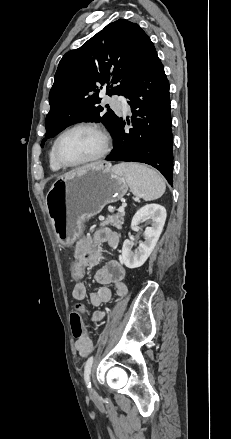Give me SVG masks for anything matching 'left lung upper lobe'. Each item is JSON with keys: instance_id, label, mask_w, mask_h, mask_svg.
Segmentation results:
<instances>
[{"instance_id": "1", "label": "left lung upper lobe", "mask_w": 231, "mask_h": 439, "mask_svg": "<svg viewBox=\"0 0 231 439\" xmlns=\"http://www.w3.org/2000/svg\"><path fill=\"white\" fill-rule=\"evenodd\" d=\"M153 46L139 25L119 19L80 48L67 52L49 93L50 111L41 147L47 139L82 121L101 122L113 135L119 117L109 108L101 114L99 92L106 88L109 96L124 95Z\"/></svg>"}]
</instances>
